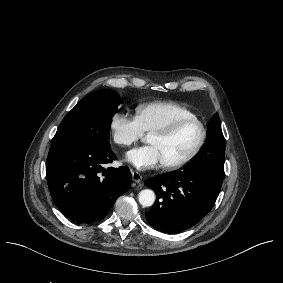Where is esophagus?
<instances>
[{"instance_id": "obj_1", "label": "esophagus", "mask_w": 283, "mask_h": 283, "mask_svg": "<svg viewBox=\"0 0 283 283\" xmlns=\"http://www.w3.org/2000/svg\"><path fill=\"white\" fill-rule=\"evenodd\" d=\"M131 175L134 182L140 183L142 181V175L139 172L132 171Z\"/></svg>"}]
</instances>
